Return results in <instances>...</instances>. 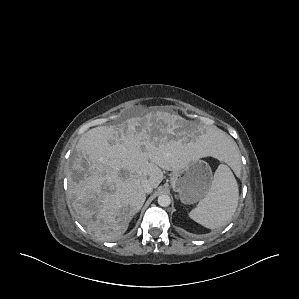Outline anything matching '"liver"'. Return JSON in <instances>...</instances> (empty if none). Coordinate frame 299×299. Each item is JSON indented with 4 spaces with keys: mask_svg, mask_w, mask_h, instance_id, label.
<instances>
[{
    "mask_svg": "<svg viewBox=\"0 0 299 299\" xmlns=\"http://www.w3.org/2000/svg\"><path fill=\"white\" fill-rule=\"evenodd\" d=\"M186 125L178 115L157 111L81 136L68 189L76 219L88 233L118 239L145 202L142 181L157 188L162 169L175 172L207 156L221 159L234 148L232 139L217 128L194 135ZM73 171L83 172L82 178L76 181Z\"/></svg>",
    "mask_w": 299,
    "mask_h": 299,
    "instance_id": "liver-1",
    "label": "liver"
}]
</instances>
